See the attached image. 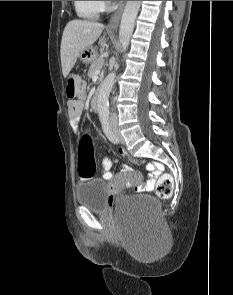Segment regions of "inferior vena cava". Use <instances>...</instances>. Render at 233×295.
Listing matches in <instances>:
<instances>
[{
  "label": "inferior vena cava",
  "mask_w": 233,
  "mask_h": 295,
  "mask_svg": "<svg viewBox=\"0 0 233 295\" xmlns=\"http://www.w3.org/2000/svg\"><path fill=\"white\" fill-rule=\"evenodd\" d=\"M111 115H112L113 118H116V113L115 112H113Z\"/></svg>",
  "instance_id": "obj_1"
}]
</instances>
